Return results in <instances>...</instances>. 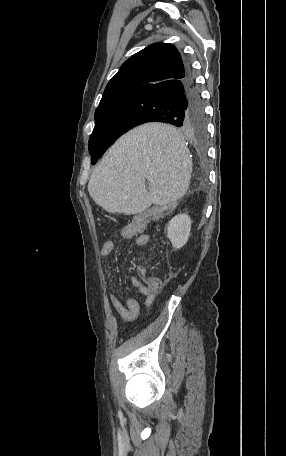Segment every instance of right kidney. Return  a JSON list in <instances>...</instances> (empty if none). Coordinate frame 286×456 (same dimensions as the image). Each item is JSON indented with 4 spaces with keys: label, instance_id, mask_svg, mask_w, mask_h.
Returning <instances> with one entry per match:
<instances>
[{
    "label": "right kidney",
    "instance_id": "ca27d5eb",
    "mask_svg": "<svg viewBox=\"0 0 286 456\" xmlns=\"http://www.w3.org/2000/svg\"><path fill=\"white\" fill-rule=\"evenodd\" d=\"M191 218L186 214L176 215L168 224L167 237L176 249L183 247L189 238Z\"/></svg>",
    "mask_w": 286,
    "mask_h": 456
}]
</instances>
